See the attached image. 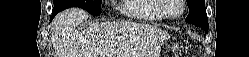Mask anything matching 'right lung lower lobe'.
Wrapping results in <instances>:
<instances>
[{
    "mask_svg": "<svg viewBox=\"0 0 249 57\" xmlns=\"http://www.w3.org/2000/svg\"><path fill=\"white\" fill-rule=\"evenodd\" d=\"M58 12H60V11H59V10H54V9H53V11H52V16H51L50 20H52V19L54 18V16H55Z\"/></svg>",
    "mask_w": 249,
    "mask_h": 57,
    "instance_id": "1",
    "label": "right lung lower lobe"
}]
</instances>
